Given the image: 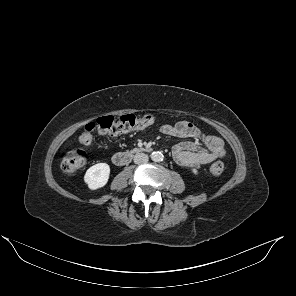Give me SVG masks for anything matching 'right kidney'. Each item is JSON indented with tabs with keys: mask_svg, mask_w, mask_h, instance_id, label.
Wrapping results in <instances>:
<instances>
[{
	"mask_svg": "<svg viewBox=\"0 0 296 296\" xmlns=\"http://www.w3.org/2000/svg\"><path fill=\"white\" fill-rule=\"evenodd\" d=\"M110 176V166L106 163H98L90 167L85 175L84 181L91 190L104 187Z\"/></svg>",
	"mask_w": 296,
	"mask_h": 296,
	"instance_id": "right-kidney-1",
	"label": "right kidney"
}]
</instances>
